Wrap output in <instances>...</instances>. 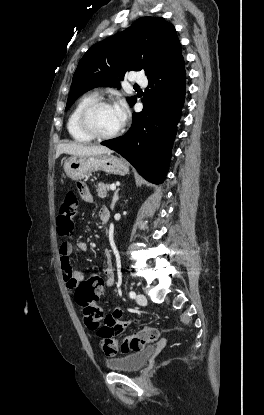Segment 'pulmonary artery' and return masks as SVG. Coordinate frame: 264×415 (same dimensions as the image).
Returning <instances> with one entry per match:
<instances>
[{
  "label": "pulmonary artery",
  "mask_w": 264,
  "mask_h": 415,
  "mask_svg": "<svg viewBox=\"0 0 264 415\" xmlns=\"http://www.w3.org/2000/svg\"><path fill=\"white\" fill-rule=\"evenodd\" d=\"M132 81L137 84H145L146 83V77L144 75H133Z\"/></svg>",
  "instance_id": "e3ab8cb5"
}]
</instances>
